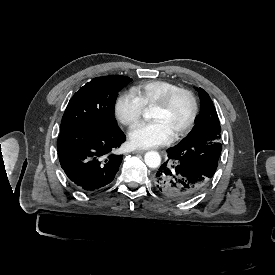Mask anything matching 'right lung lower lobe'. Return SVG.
I'll return each mask as SVG.
<instances>
[{"mask_svg":"<svg viewBox=\"0 0 275 275\" xmlns=\"http://www.w3.org/2000/svg\"><path fill=\"white\" fill-rule=\"evenodd\" d=\"M125 139L120 128L100 133L81 125L61 127L57 140L60 165L77 189L96 191L114 179L123 158L113 151Z\"/></svg>","mask_w":275,"mask_h":275,"instance_id":"obj_1","label":"right lung lower lobe"}]
</instances>
